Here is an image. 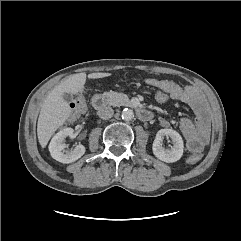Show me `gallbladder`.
Instances as JSON below:
<instances>
[{
    "mask_svg": "<svg viewBox=\"0 0 241 241\" xmlns=\"http://www.w3.org/2000/svg\"><path fill=\"white\" fill-rule=\"evenodd\" d=\"M63 98L67 103H70L73 100V95L71 93H64Z\"/></svg>",
    "mask_w": 241,
    "mask_h": 241,
    "instance_id": "gallbladder-1",
    "label": "gallbladder"
}]
</instances>
